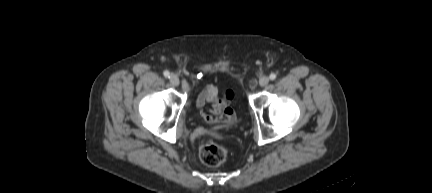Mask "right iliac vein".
Masks as SVG:
<instances>
[{
    "instance_id": "1",
    "label": "right iliac vein",
    "mask_w": 432,
    "mask_h": 193,
    "mask_svg": "<svg viewBox=\"0 0 432 193\" xmlns=\"http://www.w3.org/2000/svg\"><path fill=\"white\" fill-rule=\"evenodd\" d=\"M170 83L174 87L179 86V83H180L179 78L176 75H171V77H170Z\"/></svg>"
}]
</instances>
